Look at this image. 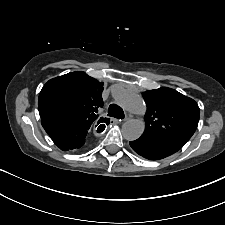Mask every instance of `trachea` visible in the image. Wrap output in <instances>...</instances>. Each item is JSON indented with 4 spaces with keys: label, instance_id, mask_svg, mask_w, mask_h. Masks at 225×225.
Segmentation results:
<instances>
[{
    "label": "trachea",
    "instance_id": "trachea-1",
    "mask_svg": "<svg viewBox=\"0 0 225 225\" xmlns=\"http://www.w3.org/2000/svg\"><path fill=\"white\" fill-rule=\"evenodd\" d=\"M108 116L114 117V118H117V119H123L124 118V111L118 105L111 104L108 108Z\"/></svg>",
    "mask_w": 225,
    "mask_h": 225
}]
</instances>
